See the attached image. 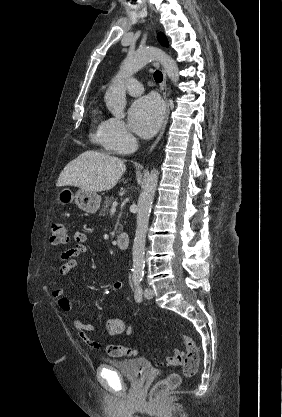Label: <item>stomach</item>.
Returning a JSON list of instances; mask_svg holds the SVG:
<instances>
[{
    "label": "stomach",
    "mask_w": 282,
    "mask_h": 417,
    "mask_svg": "<svg viewBox=\"0 0 282 417\" xmlns=\"http://www.w3.org/2000/svg\"><path fill=\"white\" fill-rule=\"evenodd\" d=\"M56 200L58 204H62V206H69L72 202H75L81 211H85V213H97L99 206L101 204V196L97 194V192H93V190H77V192H73L71 188L68 186H64L61 188L59 192H57Z\"/></svg>",
    "instance_id": "0dacf381"
}]
</instances>
